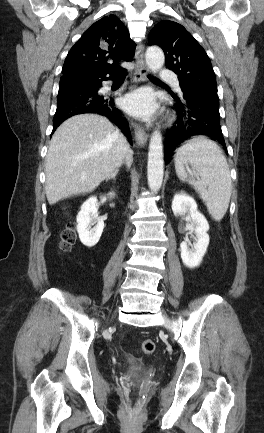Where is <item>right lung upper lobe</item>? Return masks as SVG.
Returning <instances> with one entry per match:
<instances>
[{"mask_svg": "<svg viewBox=\"0 0 264 433\" xmlns=\"http://www.w3.org/2000/svg\"><path fill=\"white\" fill-rule=\"evenodd\" d=\"M135 43L115 15L95 22L71 48L64 62L60 86L116 76L124 71L119 61H130Z\"/></svg>", "mask_w": 264, "mask_h": 433, "instance_id": "obj_1", "label": "right lung upper lobe"}]
</instances>
